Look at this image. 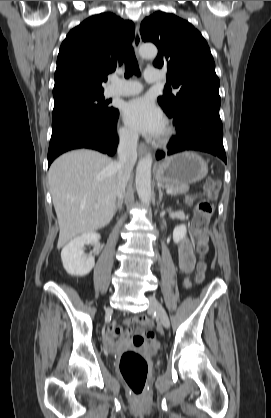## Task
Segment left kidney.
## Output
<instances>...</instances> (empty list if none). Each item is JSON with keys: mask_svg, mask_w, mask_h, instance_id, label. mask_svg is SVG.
Instances as JSON below:
<instances>
[{"mask_svg": "<svg viewBox=\"0 0 271 418\" xmlns=\"http://www.w3.org/2000/svg\"><path fill=\"white\" fill-rule=\"evenodd\" d=\"M187 229L185 225H179L175 227L173 231V239L175 243H178L180 240H182L186 235Z\"/></svg>", "mask_w": 271, "mask_h": 418, "instance_id": "obj_1", "label": "left kidney"}]
</instances>
